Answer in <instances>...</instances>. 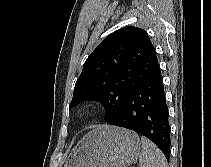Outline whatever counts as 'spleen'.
Masks as SVG:
<instances>
[{"label": "spleen", "mask_w": 211, "mask_h": 167, "mask_svg": "<svg viewBox=\"0 0 211 167\" xmlns=\"http://www.w3.org/2000/svg\"><path fill=\"white\" fill-rule=\"evenodd\" d=\"M140 167H168L164 154L146 137H141Z\"/></svg>", "instance_id": "1"}]
</instances>
